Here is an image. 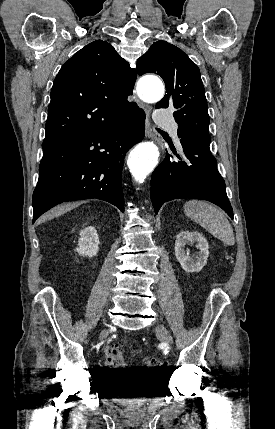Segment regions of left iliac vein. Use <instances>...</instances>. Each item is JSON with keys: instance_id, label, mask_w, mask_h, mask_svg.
<instances>
[{"instance_id": "left-iliac-vein-1", "label": "left iliac vein", "mask_w": 275, "mask_h": 429, "mask_svg": "<svg viewBox=\"0 0 275 429\" xmlns=\"http://www.w3.org/2000/svg\"><path fill=\"white\" fill-rule=\"evenodd\" d=\"M156 334L159 337L160 341L166 346L169 347L172 342V337L169 331L161 324L156 327Z\"/></svg>"}]
</instances>
